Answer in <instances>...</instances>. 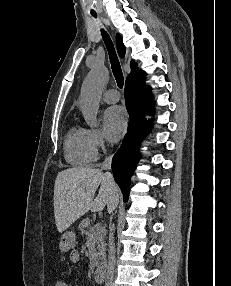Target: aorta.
I'll return each mask as SVG.
<instances>
[{
	"label": "aorta",
	"instance_id": "aorta-1",
	"mask_svg": "<svg viewBox=\"0 0 231 286\" xmlns=\"http://www.w3.org/2000/svg\"><path fill=\"white\" fill-rule=\"evenodd\" d=\"M109 79V72L105 67L93 68L85 78L80 94V109L85 122L96 127L99 110L100 95Z\"/></svg>",
	"mask_w": 231,
	"mask_h": 286
}]
</instances>
